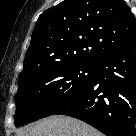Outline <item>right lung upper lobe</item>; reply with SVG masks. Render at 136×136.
Here are the masks:
<instances>
[{
    "label": "right lung upper lobe",
    "mask_w": 136,
    "mask_h": 136,
    "mask_svg": "<svg viewBox=\"0 0 136 136\" xmlns=\"http://www.w3.org/2000/svg\"><path fill=\"white\" fill-rule=\"evenodd\" d=\"M136 38V19L123 0H65L42 13L18 83L56 65L93 63Z\"/></svg>",
    "instance_id": "1"
}]
</instances>
